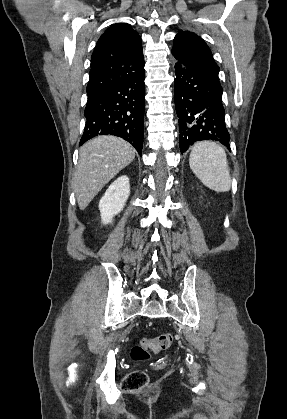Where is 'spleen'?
Here are the masks:
<instances>
[{
    "label": "spleen",
    "mask_w": 287,
    "mask_h": 419,
    "mask_svg": "<svg viewBox=\"0 0 287 419\" xmlns=\"http://www.w3.org/2000/svg\"><path fill=\"white\" fill-rule=\"evenodd\" d=\"M189 165L197 178L216 192L231 188V176L223 147L211 141L196 143L189 156Z\"/></svg>",
    "instance_id": "spleen-1"
}]
</instances>
